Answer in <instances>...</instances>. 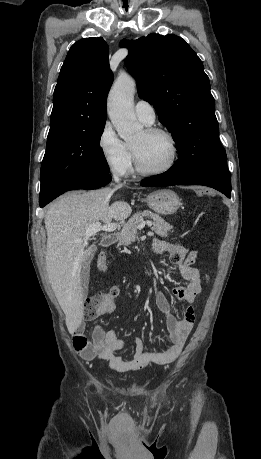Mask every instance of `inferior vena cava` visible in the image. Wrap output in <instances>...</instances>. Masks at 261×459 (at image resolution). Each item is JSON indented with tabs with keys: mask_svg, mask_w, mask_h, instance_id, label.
Returning <instances> with one entry per match:
<instances>
[{
	"mask_svg": "<svg viewBox=\"0 0 261 459\" xmlns=\"http://www.w3.org/2000/svg\"><path fill=\"white\" fill-rule=\"evenodd\" d=\"M114 181H115L116 183H119V181H120L119 177L116 176V175H114Z\"/></svg>",
	"mask_w": 261,
	"mask_h": 459,
	"instance_id": "inferior-vena-cava-1",
	"label": "inferior vena cava"
}]
</instances>
